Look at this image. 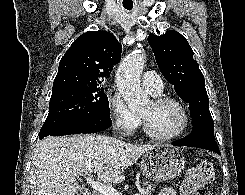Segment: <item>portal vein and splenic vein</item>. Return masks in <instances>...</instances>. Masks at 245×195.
Wrapping results in <instances>:
<instances>
[{
	"mask_svg": "<svg viewBox=\"0 0 245 195\" xmlns=\"http://www.w3.org/2000/svg\"><path fill=\"white\" fill-rule=\"evenodd\" d=\"M86 182L93 188L95 191L100 193V195H122L120 192H118L116 189L102 183L99 181L94 180V177L92 174H88L86 178ZM144 191H141L139 193H136L134 195H141Z\"/></svg>",
	"mask_w": 245,
	"mask_h": 195,
	"instance_id": "portal-vein-and-splenic-vein-1",
	"label": "portal vein and splenic vein"
}]
</instances>
